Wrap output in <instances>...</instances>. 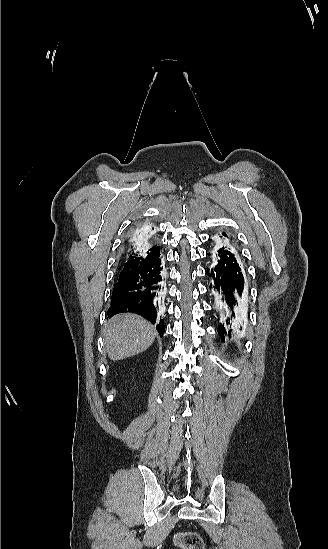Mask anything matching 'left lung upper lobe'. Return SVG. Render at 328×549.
I'll list each match as a JSON object with an SVG mask.
<instances>
[{"mask_svg": "<svg viewBox=\"0 0 328 549\" xmlns=\"http://www.w3.org/2000/svg\"><path fill=\"white\" fill-rule=\"evenodd\" d=\"M223 235H224L225 237H227L226 233H223Z\"/></svg>", "mask_w": 328, "mask_h": 549, "instance_id": "5c2ea615", "label": "left lung upper lobe"}]
</instances>
